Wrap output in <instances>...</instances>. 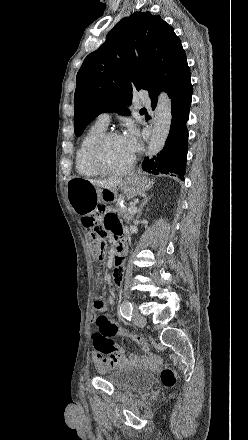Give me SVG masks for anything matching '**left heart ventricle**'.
<instances>
[{
	"label": "left heart ventricle",
	"instance_id": "b2bd125f",
	"mask_svg": "<svg viewBox=\"0 0 248 440\" xmlns=\"http://www.w3.org/2000/svg\"><path fill=\"white\" fill-rule=\"evenodd\" d=\"M133 155L127 149L123 137L111 138L103 152V162L110 170H120L127 167Z\"/></svg>",
	"mask_w": 248,
	"mask_h": 440
}]
</instances>
